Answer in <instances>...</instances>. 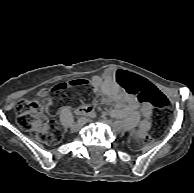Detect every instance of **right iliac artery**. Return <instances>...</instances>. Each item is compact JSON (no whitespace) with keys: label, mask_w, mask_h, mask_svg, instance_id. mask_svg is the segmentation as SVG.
<instances>
[{"label":"right iliac artery","mask_w":194,"mask_h":193,"mask_svg":"<svg viewBox=\"0 0 194 193\" xmlns=\"http://www.w3.org/2000/svg\"><path fill=\"white\" fill-rule=\"evenodd\" d=\"M81 121H83V118H79V119H78V122H81Z\"/></svg>","instance_id":"right-iliac-artery-1"}]
</instances>
